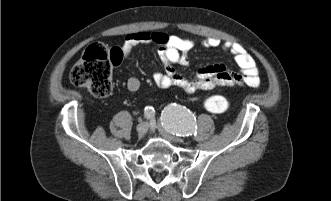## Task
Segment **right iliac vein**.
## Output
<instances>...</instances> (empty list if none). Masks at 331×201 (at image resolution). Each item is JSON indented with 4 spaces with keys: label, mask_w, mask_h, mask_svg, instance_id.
I'll return each mask as SVG.
<instances>
[{
    "label": "right iliac vein",
    "mask_w": 331,
    "mask_h": 201,
    "mask_svg": "<svg viewBox=\"0 0 331 201\" xmlns=\"http://www.w3.org/2000/svg\"><path fill=\"white\" fill-rule=\"evenodd\" d=\"M147 129H148L147 122H142L137 126V132L139 133V135H144Z\"/></svg>",
    "instance_id": "right-iliac-vein-1"
}]
</instances>
